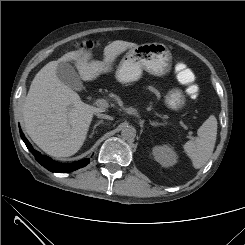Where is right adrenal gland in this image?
I'll use <instances>...</instances> for the list:
<instances>
[{"label":"right adrenal gland","instance_id":"1","mask_svg":"<svg viewBox=\"0 0 245 245\" xmlns=\"http://www.w3.org/2000/svg\"><path fill=\"white\" fill-rule=\"evenodd\" d=\"M101 123H103V120L98 121V122L94 125L93 130H92V133H91L90 136H89L90 138H92V136H93V134H94V131H95L96 127L99 126Z\"/></svg>","mask_w":245,"mask_h":245}]
</instances>
